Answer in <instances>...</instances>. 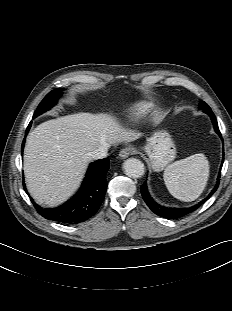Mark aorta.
<instances>
[{
	"label": "aorta",
	"mask_w": 232,
	"mask_h": 311,
	"mask_svg": "<svg viewBox=\"0 0 232 311\" xmlns=\"http://www.w3.org/2000/svg\"><path fill=\"white\" fill-rule=\"evenodd\" d=\"M125 174L131 178H139L145 172V167L142 161L136 158H129L123 163Z\"/></svg>",
	"instance_id": "obj_1"
}]
</instances>
